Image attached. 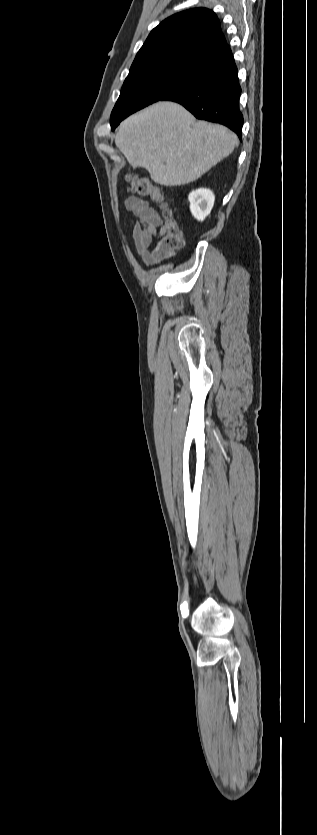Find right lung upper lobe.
<instances>
[{"instance_id": "1", "label": "right lung upper lobe", "mask_w": 317, "mask_h": 835, "mask_svg": "<svg viewBox=\"0 0 317 835\" xmlns=\"http://www.w3.org/2000/svg\"><path fill=\"white\" fill-rule=\"evenodd\" d=\"M226 45L216 14L194 8L172 15L155 27L137 53L130 72L190 58Z\"/></svg>"}]
</instances>
